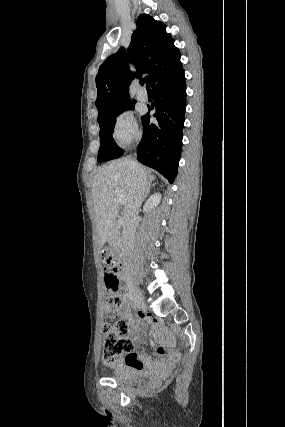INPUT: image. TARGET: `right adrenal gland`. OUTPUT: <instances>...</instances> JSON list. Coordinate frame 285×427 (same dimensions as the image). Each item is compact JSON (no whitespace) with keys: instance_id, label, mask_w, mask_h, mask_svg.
Listing matches in <instances>:
<instances>
[{"instance_id":"2a0ac1e0","label":"right adrenal gland","mask_w":285,"mask_h":427,"mask_svg":"<svg viewBox=\"0 0 285 427\" xmlns=\"http://www.w3.org/2000/svg\"><path fill=\"white\" fill-rule=\"evenodd\" d=\"M153 186H155V184H150V183L148 184L143 201L147 198V196H148V194L150 192V188L153 187Z\"/></svg>"}]
</instances>
